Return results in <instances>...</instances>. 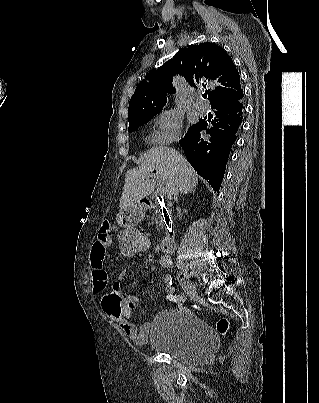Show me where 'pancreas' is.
<instances>
[{
	"label": "pancreas",
	"mask_w": 319,
	"mask_h": 403,
	"mask_svg": "<svg viewBox=\"0 0 319 403\" xmlns=\"http://www.w3.org/2000/svg\"><path fill=\"white\" fill-rule=\"evenodd\" d=\"M156 213L158 214V216L156 218L157 228L162 229L165 227V222H164L160 209H157Z\"/></svg>",
	"instance_id": "cf45deb5"
}]
</instances>
